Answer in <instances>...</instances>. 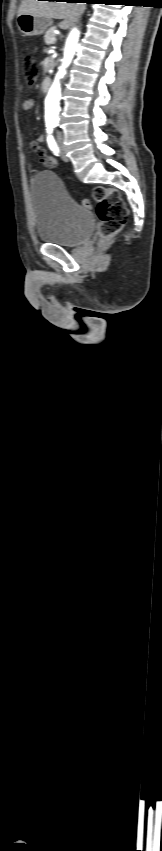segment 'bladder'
<instances>
[{"label": "bladder", "mask_w": 162, "mask_h": 851, "mask_svg": "<svg viewBox=\"0 0 162 851\" xmlns=\"http://www.w3.org/2000/svg\"><path fill=\"white\" fill-rule=\"evenodd\" d=\"M36 233L46 243L74 247L85 242L95 227L94 214L68 194L53 172L37 174L30 185Z\"/></svg>", "instance_id": "1"}]
</instances>
